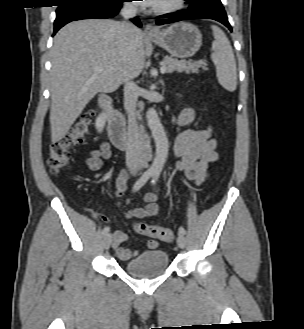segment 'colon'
<instances>
[{"label": "colon", "instance_id": "1", "mask_svg": "<svg viewBox=\"0 0 304 329\" xmlns=\"http://www.w3.org/2000/svg\"><path fill=\"white\" fill-rule=\"evenodd\" d=\"M95 116L92 108L82 112L70 130L50 146L48 164L52 174L57 175L69 165L74 149L80 145L89 133ZM134 230L146 237L155 238L164 242H171L175 232L166 227L151 225L145 222H134Z\"/></svg>", "mask_w": 304, "mask_h": 329}]
</instances>
